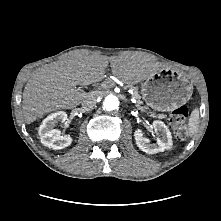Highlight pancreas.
<instances>
[{
  "label": "pancreas",
  "instance_id": "obj_1",
  "mask_svg": "<svg viewBox=\"0 0 221 221\" xmlns=\"http://www.w3.org/2000/svg\"><path fill=\"white\" fill-rule=\"evenodd\" d=\"M126 88L132 90V92H133V97L137 100L138 104H141L142 101H141V96H140V94L138 93V88H137V87H134V86H132V85H128ZM142 108H143V109H147V107H142ZM149 113H150V116H152V117L163 118V115H161V114L156 115V114H154V113H152V112H149Z\"/></svg>",
  "mask_w": 221,
  "mask_h": 221
}]
</instances>
